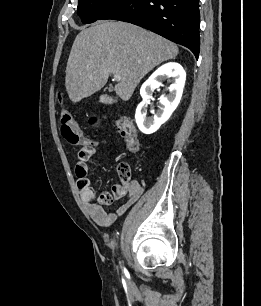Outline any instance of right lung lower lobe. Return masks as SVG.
Listing matches in <instances>:
<instances>
[{"instance_id": "right-lung-lower-lobe-1", "label": "right lung lower lobe", "mask_w": 261, "mask_h": 306, "mask_svg": "<svg viewBox=\"0 0 261 306\" xmlns=\"http://www.w3.org/2000/svg\"><path fill=\"white\" fill-rule=\"evenodd\" d=\"M114 19L149 29L189 48L198 58V0H119L99 20Z\"/></svg>"}]
</instances>
